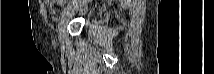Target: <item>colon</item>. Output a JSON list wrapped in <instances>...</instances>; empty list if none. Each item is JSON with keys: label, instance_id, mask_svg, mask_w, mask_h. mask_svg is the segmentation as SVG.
Here are the masks:
<instances>
[{"label": "colon", "instance_id": "1", "mask_svg": "<svg viewBox=\"0 0 214 74\" xmlns=\"http://www.w3.org/2000/svg\"><path fill=\"white\" fill-rule=\"evenodd\" d=\"M47 4L50 6H53L54 4H64L66 3V0H46Z\"/></svg>", "mask_w": 214, "mask_h": 74}]
</instances>
